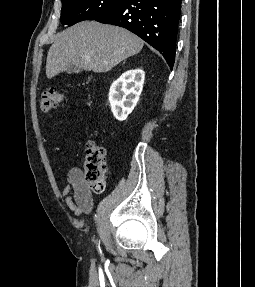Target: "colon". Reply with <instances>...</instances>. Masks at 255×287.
Returning <instances> with one entry per match:
<instances>
[{"mask_svg":"<svg viewBox=\"0 0 255 287\" xmlns=\"http://www.w3.org/2000/svg\"><path fill=\"white\" fill-rule=\"evenodd\" d=\"M62 99L63 95L57 88H49L40 97V109L44 113H49L59 106ZM83 169L87 186L94 192H102L105 189L107 163L106 150L101 144L94 141L87 143Z\"/></svg>","mask_w":255,"mask_h":287,"instance_id":"5ec220e1","label":"colon"}]
</instances>
